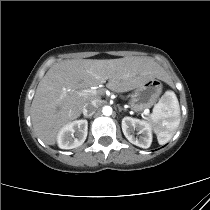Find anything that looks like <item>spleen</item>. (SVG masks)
Returning <instances> with one entry per match:
<instances>
[{
  "instance_id": "spleen-1",
  "label": "spleen",
  "mask_w": 210,
  "mask_h": 210,
  "mask_svg": "<svg viewBox=\"0 0 210 210\" xmlns=\"http://www.w3.org/2000/svg\"><path fill=\"white\" fill-rule=\"evenodd\" d=\"M148 123L157 135L160 145L166 144L175 134L180 123V107L176 94L166 91L154 106Z\"/></svg>"
}]
</instances>
